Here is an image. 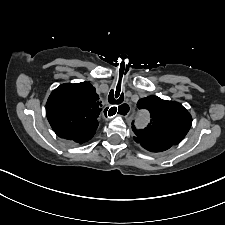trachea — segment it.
<instances>
[{"instance_id": "trachea-1", "label": "trachea", "mask_w": 225, "mask_h": 225, "mask_svg": "<svg viewBox=\"0 0 225 225\" xmlns=\"http://www.w3.org/2000/svg\"><path fill=\"white\" fill-rule=\"evenodd\" d=\"M124 100V94L120 93V88H117L116 91L114 92L113 90L110 91L109 96H108V101L110 104H121ZM125 107V104H122L119 107V111L123 110ZM113 110L110 112L109 115H114L117 111L116 107L112 108Z\"/></svg>"}]
</instances>
